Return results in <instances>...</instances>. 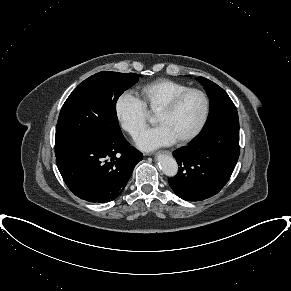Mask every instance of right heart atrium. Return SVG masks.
I'll return each mask as SVG.
<instances>
[{
	"label": "right heart atrium",
	"mask_w": 291,
	"mask_h": 291,
	"mask_svg": "<svg viewBox=\"0 0 291 291\" xmlns=\"http://www.w3.org/2000/svg\"><path fill=\"white\" fill-rule=\"evenodd\" d=\"M115 114L121 127L137 137L147 125L148 113L141 100L132 93H121L115 102Z\"/></svg>",
	"instance_id": "1"
}]
</instances>
